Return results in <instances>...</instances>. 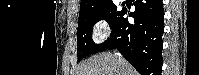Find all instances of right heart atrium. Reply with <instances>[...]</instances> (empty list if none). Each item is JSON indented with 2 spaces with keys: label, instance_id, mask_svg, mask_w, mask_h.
I'll use <instances>...</instances> for the list:
<instances>
[{
  "label": "right heart atrium",
  "instance_id": "obj_1",
  "mask_svg": "<svg viewBox=\"0 0 199 75\" xmlns=\"http://www.w3.org/2000/svg\"><path fill=\"white\" fill-rule=\"evenodd\" d=\"M110 32L109 25L106 20H97L91 28V38L94 43H100L104 41Z\"/></svg>",
  "mask_w": 199,
  "mask_h": 75
}]
</instances>
